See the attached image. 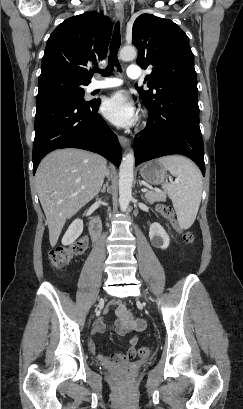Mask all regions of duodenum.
<instances>
[{"mask_svg":"<svg viewBox=\"0 0 243 409\" xmlns=\"http://www.w3.org/2000/svg\"><path fill=\"white\" fill-rule=\"evenodd\" d=\"M89 228L93 241H96L101 233V220L98 216H94L90 220Z\"/></svg>","mask_w":243,"mask_h":409,"instance_id":"obj_1","label":"duodenum"}]
</instances>
